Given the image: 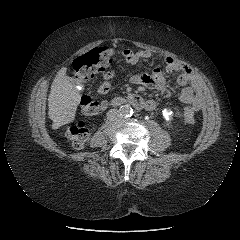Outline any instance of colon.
Listing matches in <instances>:
<instances>
[{"mask_svg":"<svg viewBox=\"0 0 240 240\" xmlns=\"http://www.w3.org/2000/svg\"><path fill=\"white\" fill-rule=\"evenodd\" d=\"M115 49L99 47L78 57L73 62L74 75L80 82H87L95 74L104 72L111 64ZM81 109L86 116L99 114L101 107L93 97L85 95L81 99ZM184 119L188 124L195 123L194 111L190 107L184 109ZM66 137L76 149H82L88 140L89 131L83 121L72 123L66 128Z\"/></svg>","mask_w":240,"mask_h":240,"instance_id":"5ec220e1","label":"colon"}]
</instances>
